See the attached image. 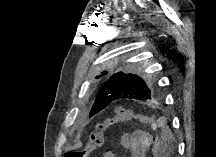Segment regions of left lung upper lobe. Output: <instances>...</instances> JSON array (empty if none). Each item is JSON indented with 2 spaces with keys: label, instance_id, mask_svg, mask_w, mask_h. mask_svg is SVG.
Returning <instances> with one entry per match:
<instances>
[{
  "label": "left lung upper lobe",
  "instance_id": "5c2ea615",
  "mask_svg": "<svg viewBox=\"0 0 216 157\" xmlns=\"http://www.w3.org/2000/svg\"><path fill=\"white\" fill-rule=\"evenodd\" d=\"M107 67L113 69L114 75L102 87L94 104L108 103L109 105L116 100L127 99L148 101L158 96V86L154 79L136 75L142 72L138 69V64H108ZM106 74L107 72L104 71L97 77Z\"/></svg>",
  "mask_w": 216,
  "mask_h": 157
}]
</instances>
